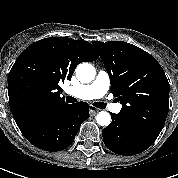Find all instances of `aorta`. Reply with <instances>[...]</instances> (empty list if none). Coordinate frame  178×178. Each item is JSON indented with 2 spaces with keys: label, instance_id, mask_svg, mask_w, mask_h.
Returning a JSON list of instances; mask_svg holds the SVG:
<instances>
[{
  "label": "aorta",
  "instance_id": "aorta-1",
  "mask_svg": "<svg viewBox=\"0 0 178 178\" xmlns=\"http://www.w3.org/2000/svg\"><path fill=\"white\" fill-rule=\"evenodd\" d=\"M96 70L90 63H81L76 68V77L81 83H90L94 80ZM96 121L101 126H108L111 123V115L101 111L96 116Z\"/></svg>",
  "mask_w": 178,
  "mask_h": 178
}]
</instances>
